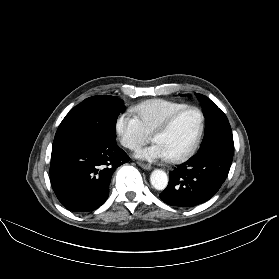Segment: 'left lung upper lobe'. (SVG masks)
Listing matches in <instances>:
<instances>
[{
	"label": "left lung upper lobe",
	"mask_w": 279,
	"mask_h": 279,
	"mask_svg": "<svg viewBox=\"0 0 279 279\" xmlns=\"http://www.w3.org/2000/svg\"><path fill=\"white\" fill-rule=\"evenodd\" d=\"M197 96L203 104L206 118L204 138L197 153L209 147H218L233 154L232 130L226 115L208 97L202 94H197Z\"/></svg>",
	"instance_id": "left-lung-upper-lobe-1"
}]
</instances>
